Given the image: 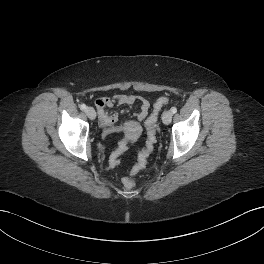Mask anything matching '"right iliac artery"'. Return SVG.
<instances>
[{
    "mask_svg": "<svg viewBox=\"0 0 264 264\" xmlns=\"http://www.w3.org/2000/svg\"><path fill=\"white\" fill-rule=\"evenodd\" d=\"M80 109H81V110H85V109H86V105H85V104H81V105H80Z\"/></svg>",
    "mask_w": 264,
    "mask_h": 264,
    "instance_id": "1",
    "label": "right iliac artery"
}]
</instances>
